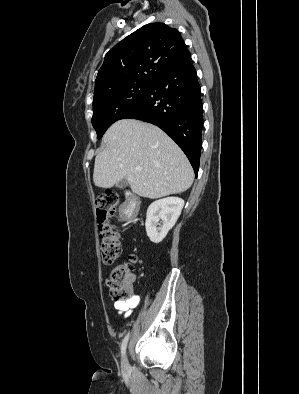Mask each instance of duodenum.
<instances>
[{
    "label": "duodenum",
    "mask_w": 299,
    "mask_h": 394,
    "mask_svg": "<svg viewBox=\"0 0 299 394\" xmlns=\"http://www.w3.org/2000/svg\"><path fill=\"white\" fill-rule=\"evenodd\" d=\"M139 210V202L138 199L129 195L126 203L123 206V218L126 220L133 219Z\"/></svg>",
    "instance_id": "410a0bca"
}]
</instances>
